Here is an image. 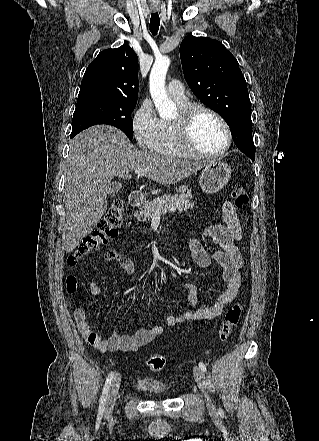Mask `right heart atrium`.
Returning <instances> with one entry per match:
<instances>
[{
    "instance_id": "obj_1",
    "label": "right heart atrium",
    "mask_w": 319,
    "mask_h": 441,
    "mask_svg": "<svg viewBox=\"0 0 319 441\" xmlns=\"http://www.w3.org/2000/svg\"><path fill=\"white\" fill-rule=\"evenodd\" d=\"M131 130L141 150H154L161 134V120L156 116L150 102H143L134 112Z\"/></svg>"
}]
</instances>
